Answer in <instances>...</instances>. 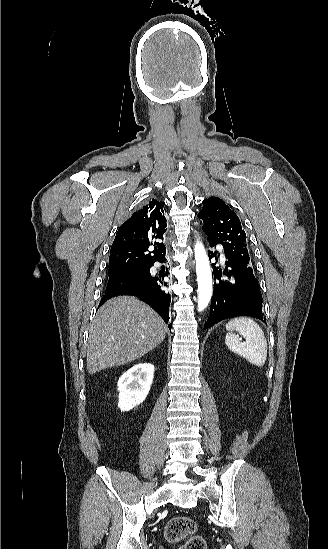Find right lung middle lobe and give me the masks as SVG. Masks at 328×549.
I'll return each mask as SVG.
<instances>
[{
    "label": "right lung middle lobe",
    "mask_w": 328,
    "mask_h": 549,
    "mask_svg": "<svg viewBox=\"0 0 328 549\" xmlns=\"http://www.w3.org/2000/svg\"><path fill=\"white\" fill-rule=\"evenodd\" d=\"M149 276V269L129 270L120 273L110 274L106 290H112L121 285L132 282L144 281Z\"/></svg>",
    "instance_id": "1"
}]
</instances>
